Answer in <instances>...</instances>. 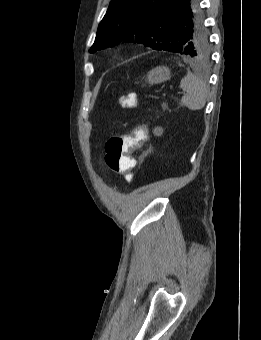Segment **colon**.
I'll list each match as a JSON object with an SVG mask.
<instances>
[{
  "mask_svg": "<svg viewBox=\"0 0 261 340\" xmlns=\"http://www.w3.org/2000/svg\"><path fill=\"white\" fill-rule=\"evenodd\" d=\"M119 105L122 108H136L139 100L135 93H129L120 97ZM146 137L147 128L139 126L128 134L109 138L105 144V162L108 168L123 175L127 181H132L135 177V160L130 153L139 148Z\"/></svg>",
  "mask_w": 261,
  "mask_h": 340,
  "instance_id": "colon-1",
  "label": "colon"
}]
</instances>
